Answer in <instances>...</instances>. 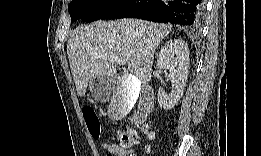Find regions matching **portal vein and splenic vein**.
I'll return each instance as SVG.
<instances>
[{
    "mask_svg": "<svg viewBox=\"0 0 261 156\" xmlns=\"http://www.w3.org/2000/svg\"><path fill=\"white\" fill-rule=\"evenodd\" d=\"M102 58L109 59L112 63L119 64V65H126L125 59H119L117 57H110L108 55H101Z\"/></svg>",
    "mask_w": 261,
    "mask_h": 156,
    "instance_id": "portal-vein-and-splenic-vein-1",
    "label": "portal vein and splenic vein"
}]
</instances>
